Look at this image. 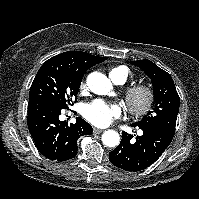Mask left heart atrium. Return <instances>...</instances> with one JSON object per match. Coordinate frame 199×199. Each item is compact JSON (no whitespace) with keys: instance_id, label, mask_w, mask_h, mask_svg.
Instances as JSON below:
<instances>
[{"instance_id":"39dd6f15","label":"left heart atrium","mask_w":199,"mask_h":199,"mask_svg":"<svg viewBox=\"0 0 199 199\" xmlns=\"http://www.w3.org/2000/svg\"><path fill=\"white\" fill-rule=\"evenodd\" d=\"M121 108L116 104H108L95 100L83 109L84 117L93 125L105 127L121 116Z\"/></svg>"}]
</instances>
